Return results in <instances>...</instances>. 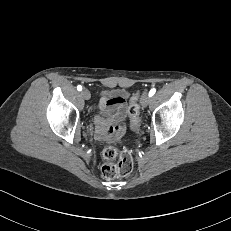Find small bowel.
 <instances>
[{
  "label": "small bowel",
  "mask_w": 231,
  "mask_h": 231,
  "mask_svg": "<svg viewBox=\"0 0 231 231\" xmlns=\"http://www.w3.org/2000/svg\"><path fill=\"white\" fill-rule=\"evenodd\" d=\"M100 107L103 110L116 109L117 114L110 118L94 117L93 123L96 138L109 141L119 140L124 133L121 117L126 110L125 98L119 95L103 98Z\"/></svg>",
  "instance_id": "small-bowel-1"
}]
</instances>
